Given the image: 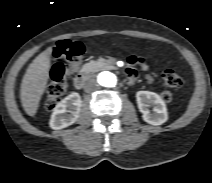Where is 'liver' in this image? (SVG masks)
Listing matches in <instances>:
<instances>
[{
	"label": "liver",
	"mask_w": 212,
	"mask_h": 183,
	"mask_svg": "<svg viewBox=\"0 0 212 183\" xmlns=\"http://www.w3.org/2000/svg\"><path fill=\"white\" fill-rule=\"evenodd\" d=\"M51 53L52 47L39 54L29 65L23 77L20 98L22 106L29 116L36 114L41 97L46 90Z\"/></svg>",
	"instance_id": "obj_1"
}]
</instances>
